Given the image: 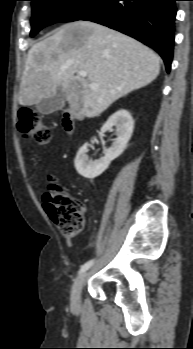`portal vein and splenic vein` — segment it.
Listing matches in <instances>:
<instances>
[{
    "label": "portal vein and splenic vein",
    "instance_id": "1",
    "mask_svg": "<svg viewBox=\"0 0 193 349\" xmlns=\"http://www.w3.org/2000/svg\"><path fill=\"white\" fill-rule=\"evenodd\" d=\"M78 76H80V77H86L87 76V73L85 72V71H79L78 72ZM97 84H95V83H91L90 84V88L91 89H97Z\"/></svg>",
    "mask_w": 193,
    "mask_h": 349
}]
</instances>
